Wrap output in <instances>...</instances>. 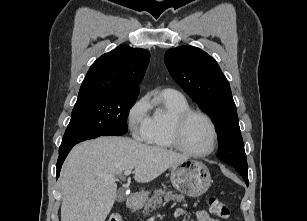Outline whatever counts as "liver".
<instances>
[{"label": "liver", "instance_id": "1", "mask_svg": "<svg viewBox=\"0 0 307 221\" xmlns=\"http://www.w3.org/2000/svg\"><path fill=\"white\" fill-rule=\"evenodd\" d=\"M187 160L185 155L126 137L80 143L69 153L60 174L61 221H105L117 191L115 180L105 179L106 175L134 169L135 180L147 183Z\"/></svg>", "mask_w": 307, "mask_h": 221}]
</instances>
